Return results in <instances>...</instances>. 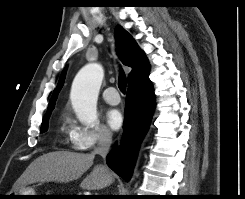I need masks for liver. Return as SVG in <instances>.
Segmentation results:
<instances>
[{"mask_svg":"<svg viewBox=\"0 0 245 199\" xmlns=\"http://www.w3.org/2000/svg\"><path fill=\"white\" fill-rule=\"evenodd\" d=\"M94 161V155L55 151L34 160L17 183V188L37 182L68 183L80 178ZM114 177L108 168L97 165L80 184L82 189L100 190L110 186Z\"/></svg>","mask_w":245,"mask_h":199,"instance_id":"obj_1","label":"liver"}]
</instances>
